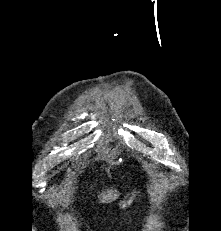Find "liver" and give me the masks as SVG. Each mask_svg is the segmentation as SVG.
Listing matches in <instances>:
<instances>
[{"label":"liver","mask_w":221,"mask_h":231,"mask_svg":"<svg viewBox=\"0 0 221 231\" xmlns=\"http://www.w3.org/2000/svg\"><path fill=\"white\" fill-rule=\"evenodd\" d=\"M119 192L117 190H107V192H103L98 197L100 198L101 203H110L116 200L119 197Z\"/></svg>","instance_id":"1"}]
</instances>
